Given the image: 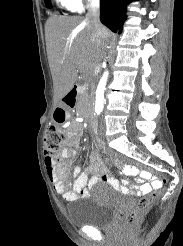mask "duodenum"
<instances>
[{"label":"duodenum","mask_w":183,"mask_h":246,"mask_svg":"<svg viewBox=\"0 0 183 246\" xmlns=\"http://www.w3.org/2000/svg\"><path fill=\"white\" fill-rule=\"evenodd\" d=\"M82 91H83V86L75 85L68 91V93L65 96H63V101L67 105L68 109L75 108L77 106L78 99ZM93 143L97 144V149L107 147V144L103 143V140L101 138L94 139Z\"/></svg>","instance_id":"1"}]
</instances>
